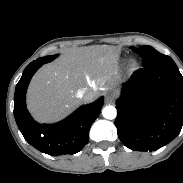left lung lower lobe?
Listing matches in <instances>:
<instances>
[{
    "instance_id": "0a47b994",
    "label": "left lung lower lobe",
    "mask_w": 183,
    "mask_h": 183,
    "mask_svg": "<svg viewBox=\"0 0 183 183\" xmlns=\"http://www.w3.org/2000/svg\"><path fill=\"white\" fill-rule=\"evenodd\" d=\"M117 133L136 151H156L183 126V76L174 62L133 73L116 103Z\"/></svg>"
}]
</instances>
